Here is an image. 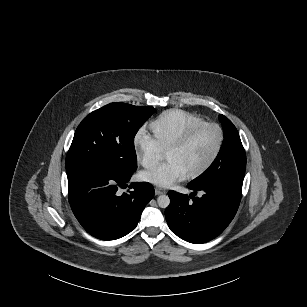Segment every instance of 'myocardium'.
Returning <instances> with one entry per match:
<instances>
[{
  "label": "myocardium",
  "mask_w": 307,
  "mask_h": 307,
  "mask_svg": "<svg viewBox=\"0 0 307 307\" xmlns=\"http://www.w3.org/2000/svg\"><path fill=\"white\" fill-rule=\"evenodd\" d=\"M207 128H216V129L219 130V133H220L219 145H218L215 153L212 155V157L209 159V161L206 164H204L200 169H198V170H196V171L187 175L188 179H195V178H198V177L204 175L217 162V160L219 159L220 155L223 152V149H224V146H225V143H226V133H225L224 128L220 124H217V123H208V124L201 125V126L195 128V129L191 130L187 134H185L182 138L175 140L165 149V153L171 152V151L181 150V149L185 148L203 130H205Z\"/></svg>",
  "instance_id": "obj_1"
}]
</instances>
